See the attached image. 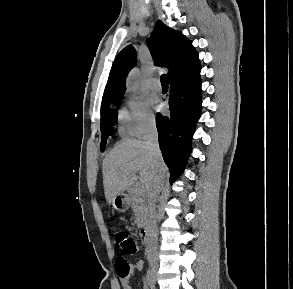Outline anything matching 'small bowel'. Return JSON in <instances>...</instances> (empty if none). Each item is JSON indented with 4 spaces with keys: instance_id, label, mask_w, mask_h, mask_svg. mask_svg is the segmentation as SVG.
Wrapping results in <instances>:
<instances>
[{
    "instance_id": "obj_1",
    "label": "small bowel",
    "mask_w": 293,
    "mask_h": 289,
    "mask_svg": "<svg viewBox=\"0 0 293 289\" xmlns=\"http://www.w3.org/2000/svg\"><path fill=\"white\" fill-rule=\"evenodd\" d=\"M143 267H144V264H143L141 261L136 262V263L133 265V269H134V270H142ZM121 288H122V289H130L127 279H122V280H121Z\"/></svg>"
}]
</instances>
